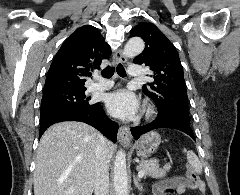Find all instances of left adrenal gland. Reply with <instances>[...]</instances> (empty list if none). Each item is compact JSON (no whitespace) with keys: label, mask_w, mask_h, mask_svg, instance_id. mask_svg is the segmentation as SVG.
Instances as JSON below:
<instances>
[{"label":"left adrenal gland","mask_w":240,"mask_h":195,"mask_svg":"<svg viewBox=\"0 0 240 195\" xmlns=\"http://www.w3.org/2000/svg\"><path fill=\"white\" fill-rule=\"evenodd\" d=\"M133 179H134V183H135L136 187H138V189H140V191H143V185H141L138 177H136L135 171H134Z\"/></svg>","instance_id":"1"}]
</instances>
